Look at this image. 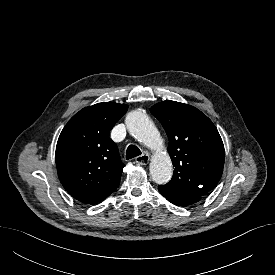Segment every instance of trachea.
I'll return each mask as SVG.
<instances>
[{
	"label": "trachea",
	"mask_w": 275,
	"mask_h": 275,
	"mask_svg": "<svg viewBox=\"0 0 275 275\" xmlns=\"http://www.w3.org/2000/svg\"><path fill=\"white\" fill-rule=\"evenodd\" d=\"M141 154L140 149L135 145H129L126 150V159H132L134 157H137Z\"/></svg>",
	"instance_id": "obj_1"
}]
</instances>
